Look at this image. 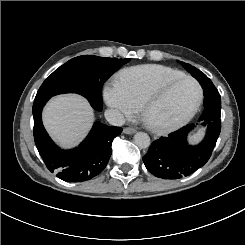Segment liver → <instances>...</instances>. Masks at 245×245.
Returning <instances> with one entry per match:
<instances>
[{
	"label": "liver",
	"mask_w": 245,
	"mask_h": 245,
	"mask_svg": "<svg viewBox=\"0 0 245 245\" xmlns=\"http://www.w3.org/2000/svg\"><path fill=\"white\" fill-rule=\"evenodd\" d=\"M41 116L44 129L63 151L77 148L90 133L96 119L95 110L88 99L77 93L50 98Z\"/></svg>",
	"instance_id": "obj_1"
}]
</instances>
